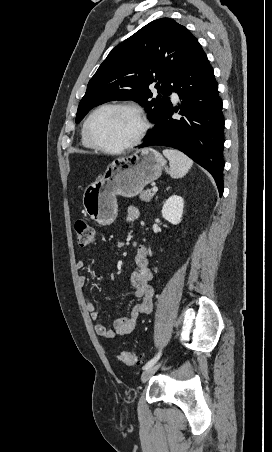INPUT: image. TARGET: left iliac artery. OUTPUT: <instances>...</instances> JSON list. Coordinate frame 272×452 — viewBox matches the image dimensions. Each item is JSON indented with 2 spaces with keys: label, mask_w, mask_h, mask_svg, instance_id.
<instances>
[{
  "label": "left iliac artery",
  "mask_w": 272,
  "mask_h": 452,
  "mask_svg": "<svg viewBox=\"0 0 272 452\" xmlns=\"http://www.w3.org/2000/svg\"><path fill=\"white\" fill-rule=\"evenodd\" d=\"M160 356H161V351H160L154 358H152L150 361H148V362L145 364V366L143 367V369L145 370V369L151 367L152 365H154V364L158 361V359L160 358Z\"/></svg>",
  "instance_id": "left-iliac-artery-1"
}]
</instances>
